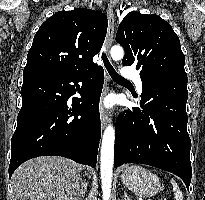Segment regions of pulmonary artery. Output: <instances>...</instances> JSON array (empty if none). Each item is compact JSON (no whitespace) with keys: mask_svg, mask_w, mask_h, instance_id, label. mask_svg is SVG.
Listing matches in <instances>:
<instances>
[{"mask_svg":"<svg viewBox=\"0 0 205 200\" xmlns=\"http://www.w3.org/2000/svg\"><path fill=\"white\" fill-rule=\"evenodd\" d=\"M121 75L123 78L131 79L134 81L137 91L139 93L142 92V80L139 73L131 68H124L121 71Z\"/></svg>","mask_w":205,"mask_h":200,"instance_id":"pulmonary-artery-1","label":"pulmonary artery"}]
</instances>
